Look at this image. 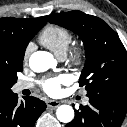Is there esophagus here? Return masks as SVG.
Segmentation results:
<instances>
[{
    "mask_svg": "<svg viewBox=\"0 0 127 127\" xmlns=\"http://www.w3.org/2000/svg\"><path fill=\"white\" fill-rule=\"evenodd\" d=\"M46 104L48 108L56 109L60 105V102L55 100H47Z\"/></svg>",
    "mask_w": 127,
    "mask_h": 127,
    "instance_id": "obj_1",
    "label": "esophagus"
}]
</instances>
